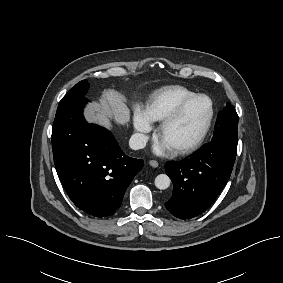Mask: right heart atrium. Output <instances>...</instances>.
Returning <instances> with one entry per match:
<instances>
[{"instance_id":"obj_1","label":"right heart atrium","mask_w":283,"mask_h":283,"mask_svg":"<svg viewBox=\"0 0 283 283\" xmlns=\"http://www.w3.org/2000/svg\"><path fill=\"white\" fill-rule=\"evenodd\" d=\"M133 123L136 131L138 132L136 140L139 145H143L146 143L147 134L151 131L152 124L140 110H136Z\"/></svg>"}]
</instances>
